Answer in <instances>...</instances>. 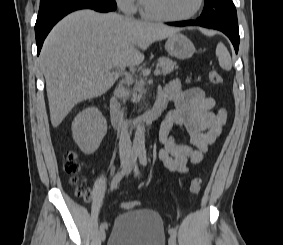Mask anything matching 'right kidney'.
Segmentation results:
<instances>
[{"mask_svg": "<svg viewBox=\"0 0 283 245\" xmlns=\"http://www.w3.org/2000/svg\"><path fill=\"white\" fill-rule=\"evenodd\" d=\"M107 132V123L102 113L95 107L81 111L72 123L73 139L87 155L94 153Z\"/></svg>", "mask_w": 283, "mask_h": 245, "instance_id": "right-kidney-1", "label": "right kidney"}]
</instances>
